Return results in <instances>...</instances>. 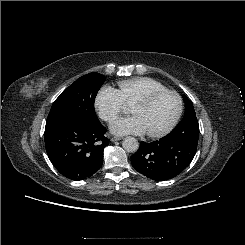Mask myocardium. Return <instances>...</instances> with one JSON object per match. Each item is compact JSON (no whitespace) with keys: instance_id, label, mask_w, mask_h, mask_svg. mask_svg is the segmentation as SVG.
Wrapping results in <instances>:
<instances>
[{"instance_id":"f54148a6","label":"myocardium","mask_w":245,"mask_h":245,"mask_svg":"<svg viewBox=\"0 0 245 245\" xmlns=\"http://www.w3.org/2000/svg\"><path fill=\"white\" fill-rule=\"evenodd\" d=\"M165 94H173L176 96V98L178 99V108H177V112L174 116V118L172 119V121L163 129L156 131V132H146L147 136L151 137V138H159V137H163L167 134H169L178 124L182 113H183V99L181 97V95L175 91V90H171V89H165V90H161V91H157V92H153L147 95H143L139 98H137L132 104H150L151 102H153L155 99H157L160 96H163Z\"/></svg>"}]
</instances>
